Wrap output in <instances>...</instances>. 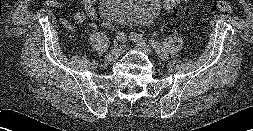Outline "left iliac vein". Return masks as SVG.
<instances>
[{
    "label": "left iliac vein",
    "instance_id": "1",
    "mask_svg": "<svg viewBox=\"0 0 253 131\" xmlns=\"http://www.w3.org/2000/svg\"><path fill=\"white\" fill-rule=\"evenodd\" d=\"M130 38L138 46V48L140 50L144 51L145 53H147L149 55H153L154 54V52L150 48V46L146 44V41L139 40V39L133 37L132 35H130ZM162 57L163 58H167V55L163 54Z\"/></svg>",
    "mask_w": 253,
    "mask_h": 131
}]
</instances>
